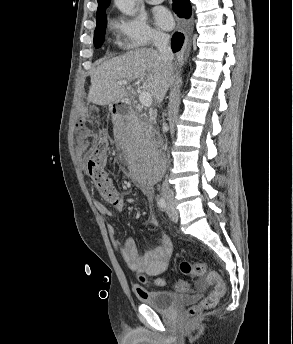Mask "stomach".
<instances>
[{
	"mask_svg": "<svg viewBox=\"0 0 293 344\" xmlns=\"http://www.w3.org/2000/svg\"><path fill=\"white\" fill-rule=\"evenodd\" d=\"M115 105H116V103L111 104V105H110V109L112 110V109L114 108Z\"/></svg>",
	"mask_w": 293,
	"mask_h": 344,
	"instance_id": "0dacf381",
	"label": "stomach"
}]
</instances>
